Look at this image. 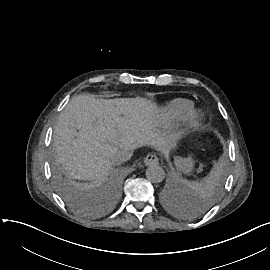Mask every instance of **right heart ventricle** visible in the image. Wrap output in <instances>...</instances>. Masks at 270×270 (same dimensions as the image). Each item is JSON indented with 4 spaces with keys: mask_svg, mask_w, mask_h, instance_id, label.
I'll list each match as a JSON object with an SVG mask.
<instances>
[{
    "mask_svg": "<svg viewBox=\"0 0 270 270\" xmlns=\"http://www.w3.org/2000/svg\"><path fill=\"white\" fill-rule=\"evenodd\" d=\"M193 106V102L189 100L174 99L163 109V116L167 120L180 121L192 110Z\"/></svg>",
    "mask_w": 270,
    "mask_h": 270,
    "instance_id": "1",
    "label": "right heart ventricle"
}]
</instances>
